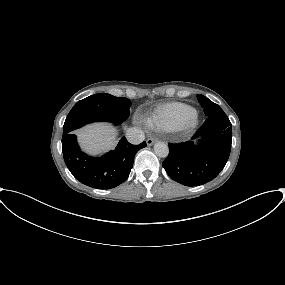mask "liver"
<instances>
[{
  "mask_svg": "<svg viewBox=\"0 0 285 285\" xmlns=\"http://www.w3.org/2000/svg\"><path fill=\"white\" fill-rule=\"evenodd\" d=\"M76 134L82 148L94 155L113 149L117 143L116 129L108 124L88 125L79 129Z\"/></svg>",
  "mask_w": 285,
  "mask_h": 285,
  "instance_id": "obj_1",
  "label": "liver"
}]
</instances>
